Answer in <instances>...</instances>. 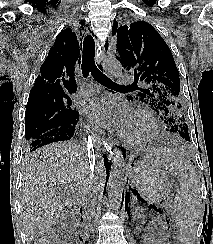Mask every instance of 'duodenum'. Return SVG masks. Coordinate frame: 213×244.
<instances>
[{
	"label": "duodenum",
	"instance_id": "obj_1",
	"mask_svg": "<svg viewBox=\"0 0 213 244\" xmlns=\"http://www.w3.org/2000/svg\"><path fill=\"white\" fill-rule=\"evenodd\" d=\"M77 230H78V234H76L75 236L71 237V243L73 244H84V239H85V236L83 234V225L82 224H78L77 226Z\"/></svg>",
	"mask_w": 213,
	"mask_h": 244
}]
</instances>
